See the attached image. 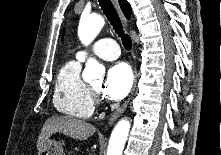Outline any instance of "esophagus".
<instances>
[{"label":"esophagus","instance_id":"34e87169","mask_svg":"<svg viewBox=\"0 0 221 155\" xmlns=\"http://www.w3.org/2000/svg\"><path fill=\"white\" fill-rule=\"evenodd\" d=\"M119 14H120V17L123 21V23L127 26L128 25V21L127 19L125 18L124 14L122 13L121 9H120V6H119V3H118V0H113ZM137 71H135V82L137 80ZM133 93H134V88L132 90V93L130 95V97L128 98V100H126L111 116L110 120H109V126H111L115 121L116 119L125 111L130 99L132 98L133 96Z\"/></svg>","mask_w":221,"mask_h":155}]
</instances>
